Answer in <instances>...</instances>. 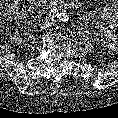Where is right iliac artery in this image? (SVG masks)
<instances>
[{"label":"right iliac artery","instance_id":"1","mask_svg":"<svg viewBox=\"0 0 118 118\" xmlns=\"http://www.w3.org/2000/svg\"><path fill=\"white\" fill-rule=\"evenodd\" d=\"M58 16H59V13H58V10L57 9H52L48 13V17H51V18H55V17H58Z\"/></svg>","mask_w":118,"mask_h":118}]
</instances>
